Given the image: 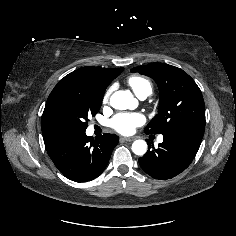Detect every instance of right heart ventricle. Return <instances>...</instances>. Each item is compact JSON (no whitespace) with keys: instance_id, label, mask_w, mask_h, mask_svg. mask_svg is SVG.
<instances>
[{"instance_id":"e07e8e85","label":"right heart ventricle","mask_w":236,"mask_h":236,"mask_svg":"<svg viewBox=\"0 0 236 236\" xmlns=\"http://www.w3.org/2000/svg\"><path fill=\"white\" fill-rule=\"evenodd\" d=\"M127 83L138 97H147L152 93L150 81L142 76H131Z\"/></svg>"}]
</instances>
